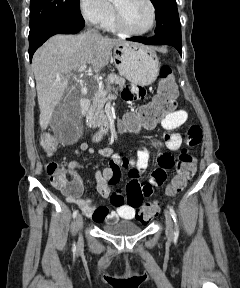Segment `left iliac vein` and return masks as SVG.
Masks as SVG:
<instances>
[{"instance_id": "1", "label": "left iliac vein", "mask_w": 240, "mask_h": 288, "mask_svg": "<svg viewBox=\"0 0 240 288\" xmlns=\"http://www.w3.org/2000/svg\"><path fill=\"white\" fill-rule=\"evenodd\" d=\"M164 216L166 219V235L167 238L171 240L174 235L172 215L168 210H164Z\"/></svg>"}]
</instances>
